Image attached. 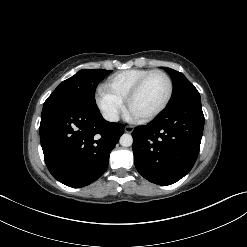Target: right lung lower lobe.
<instances>
[{
  "label": "right lung lower lobe",
  "instance_id": "right-lung-lower-lobe-1",
  "mask_svg": "<svg viewBox=\"0 0 247 247\" xmlns=\"http://www.w3.org/2000/svg\"><path fill=\"white\" fill-rule=\"evenodd\" d=\"M124 126L106 121L97 107L70 102L43 107L40 140L52 176L74 188L96 181L106 170Z\"/></svg>",
  "mask_w": 247,
  "mask_h": 247
}]
</instances>
